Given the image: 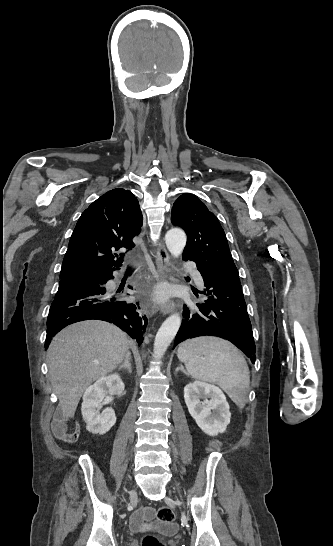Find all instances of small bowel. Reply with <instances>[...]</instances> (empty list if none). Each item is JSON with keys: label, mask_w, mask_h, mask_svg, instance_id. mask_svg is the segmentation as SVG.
I'll list each match as a JSON object with an SVG mask.
<instances>
[{"label": "small bowel", "mask_w": 333, "mask_h": 546, "mask_svg": "<svg viewBox=\"0 0 333 546\" xmlns=\"http://www.w3.org/2000/svg\"><path fill=\"white\" fill-rule=\"evenodd\" d=\"M66 419L56 418L52 422V431L56 438L65 441L67 443H73L77 441L80 436V428L76 426L73 431L68 432ZM154 518V510L151 507H143L138 510L131 519V529L139 531L145 528ZM173 525H167L166 529L170 530Z\"/></svg>", "instance_id": "c3829d8e"}]
</instances>
